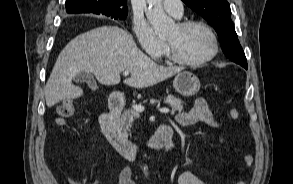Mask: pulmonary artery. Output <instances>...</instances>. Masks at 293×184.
Masks as SVG:
<instances>
[{
    "mask_svg": "<svg viewBox=\"0 0 293 184\" xmlns=\"http://www.w3.org/2000/svg\"><path fill=\"white\" fill-rule=\"evenodd\" d=\"M164 9L170 15L181 18L184 12L183 3L181 0H164Z\"/></svg>",
    "mask_w": 293,
    "mask_h": 184,
    "instance_id": "pulmonary-artery-1",
    "label": "pulmonary artery"
}]
</instances>
